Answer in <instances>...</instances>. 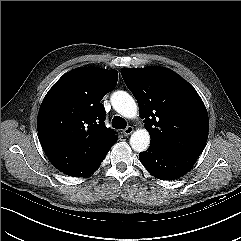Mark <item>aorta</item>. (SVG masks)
I'll use <instances>...</instances> for the list:
<instances>
[{"instance_id": "762f6f07", "label": "aorta", "mask_w": 241, "mask_h": 241, "mask_svg": "<svg viewBox=\"0 0 241 241\" xmlns=\"http://www.w3.org/2000/svg\"><path fill=\"white\" fill-rule=\"evenodd\" d=\"M113 108L125 118H135L138 106L133 97L125 91H116L111 96ZM150 144V135L146 129L136 130L130 138V145L136 152L147 150Z\"/></svg>"}]
</instances>
